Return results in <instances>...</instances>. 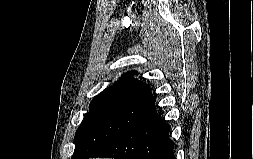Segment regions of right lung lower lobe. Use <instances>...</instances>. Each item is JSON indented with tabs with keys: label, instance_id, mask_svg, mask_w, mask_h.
Returning <instances> with one entry per match:
<instances>
[{
	"label": "right lung lower lobe",
	"instance_id": "98d812e1",
	"mask_svg": "<svg viewBox=\"0 0 253 159\" xmlns=\"http://www.w3.org/2000/svg\"><path fill=\"white\" fill-rule=\"evenodd\" d=\"M170 126L156 110L132 129L100 147L90 157L117 159H175Z\"/></svg>",
	"mask_w": 253,
	"mask_h": 159
}]
</instances>
